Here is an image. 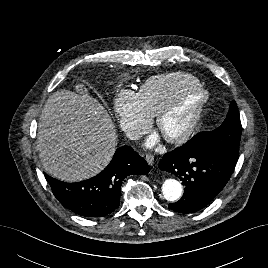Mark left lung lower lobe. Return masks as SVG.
<instances>
[{"label":"left lung lower lobe","instance_id":"1","mask_svg":"<svg viewBox=\"0 0 268 268\" xmlns=\"http://www.w3.org/2000/svg\"><path fill=\"white\" fill-rule=\"evenodd\" d=\"M237 159L217 152L199 151L184 145L163 155L159 168L171 172L185 186L182 198L169 204L181 213H194L207 206L223 189Z\"/></svg>","mask_w":268,"mask_h":268}]
</instances>
